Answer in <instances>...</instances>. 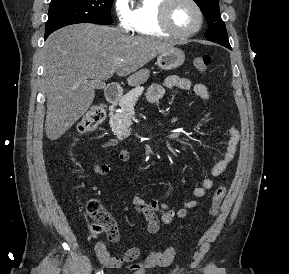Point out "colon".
<instances>
[{
    "label": "colon",
    "instance_id": "colon-1",
    "mask_svg": "<svg viewBox=\"0 0 289 274\" xmlns=\"http://www.w3.org/2000/svg\"><path fill=\"white\" fill-rule=\"evenodd\" d=\"M211 64L209 55H202L193 59V66L199 73H205ZM106 119V109L102 104L94 105L80 119L77 124V131L81 134H88L95 131ZM226 186L220 185L214 192L210 214L214 215L219 210L221 203L226 195ZM86 211L92 220L90 231L93 235L105 232L108 236L116 234L117 226L111 215L104 209L97 199H90L86 204ZM174 259V250L169 248L162 252H153L144 261L143 264L132 263L129 268L137 271V274H143L145 268H155L166 266Z\"/></svg>",
    "mask_w": 289,
    "mask_h": 274
}]
</instances>
